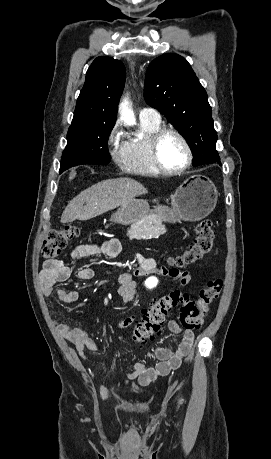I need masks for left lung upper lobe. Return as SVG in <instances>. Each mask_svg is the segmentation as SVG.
I'll return each mask as SVG.
<instances>
[{"mask_svg": "<svg viewBox=\"0 0 271 459\" xmlns=\"http://www.w3.org/2000/svg\"><path fill=\"white\" fill-rule=\"evenodd\" d=\"M144 98L188 141L194 167L220 161L207 93L183 57L168 53L151 62Z\"/></svg>", "mask_w": 271, "mask_h": 459, "instance_id": "left-lung-upper-lobe-1", "label": "left lung upper lobe"}]
</instances>
